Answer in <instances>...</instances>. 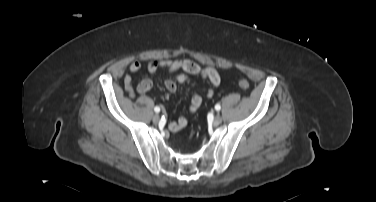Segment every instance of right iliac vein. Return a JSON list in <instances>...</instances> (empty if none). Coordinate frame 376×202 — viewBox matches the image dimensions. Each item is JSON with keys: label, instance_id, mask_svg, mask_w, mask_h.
I'll return each instance as SVG.
<instances>
[{"label": "right iliac vein", "instance_id": "1", "mask_svg": "<svg viewBox=\"0 0 376 202\" xmlns=\"http://www.w3.org/2000/svg\"><path fill=\"white\" fill-rule=\"evenodd\" d=\"M159 120H160L159 115H158V114H155V115L153 116V122L157 123Z\"/></svg>", "mask_w": 376, "mask_h": 202}]
</instances>
